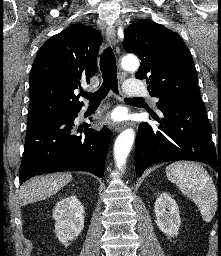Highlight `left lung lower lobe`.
<instances>
[{"label": "left lung lower lobe", "instance_id": "obj_1", "mask_svg": "<svg viewBox=\"0 0 221 256\" xmlns=\"http://www.w3.org/2000/svg\"><path fill=\"white\" fill-rule=\"evenodd\" d=\"M160 111L164 118L159 130H153L147 123L138 127L137 176L152 164L176 160L204 162L221 174V154L216 155L205 107L167 106Z\"/></svg>", "mask_w": 221, "mask_h": 256}]
</instances>
